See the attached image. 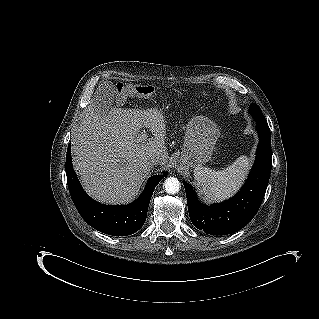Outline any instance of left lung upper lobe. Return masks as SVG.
<instances>
[{
  "instance_id": "1",
  "label": "left lung upper lobe",
  "mask_w": 319,
  "mask_h": 319,
  "mask_svg": "<svg viewBox=\"0 0 319 319\" xmlns=\"http://www.w3.org/2000/svg\"><path fill=\"white\" fill-rule=\"evenodd\" d=\"M251 113L256 122H267L260 107L257 104L251 105Z\"/></svg>"
}]
</instances>
